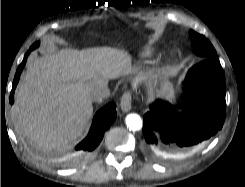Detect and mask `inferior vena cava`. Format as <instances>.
Masks as SVG:
<instances>
[{
    "label": "inferior vena cava",
    "instance_id": "1",
    "mask_svg": "<svg viewBox=\"0 0 245 187\" xmlns=\"http://www.w3.org/2000/svg\"><path fill=\"white\" fill-rule=\"evenodd\" d=\"M110 89L106 83H102L93 88L90 92V99L93 102H101L105 98L109 97Z\"/></svg>",
    "mask_w": 245,
    "mask_h": 187
}]
</instances>
